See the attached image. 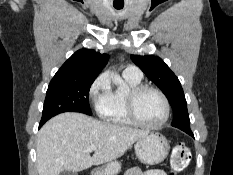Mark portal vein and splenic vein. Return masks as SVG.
Returning a JSON list of instances; mask_svg holds the SVG:
<instances>
[{
  "label": "portal vein and splenic vein",
  "instance_id": "obj_1",
  "mask_svg": "<svg viewBox=\"0 0 233 175\" xmlns=\"http://www.w3.org/2000/svg\"><path fill=\"white\" fill-rule=\"evenodd\" d=\"M96 146L95 145H91V146H89L88 148H87V152H92V151H94V150H96Z\"/></svg>",
  "mask_w": 233,
  "mask_h": 175
}]
</instances>
